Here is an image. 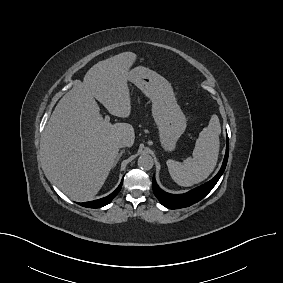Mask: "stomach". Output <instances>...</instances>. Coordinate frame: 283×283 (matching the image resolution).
Returning <instances> with one entry per match:
<instances>
[{
    "label": "stomach",
    "instance_id": "0dacf381",
    "mask_svg": "<svg viewBox=\"0 0 283 283\" xmlns=\"http://www.w3.org/2000/svg\"><path fill=\"white\" fill-rule=\"evenodd\" d=\"M129 81L152 101V115L159 130L161 145L166 151H173L186 129V118L177 104L171 84L143 66L129 72Z\"/></svg>",
    "mask_w": 283,
    "mask_h": 283
}]
</instances>
